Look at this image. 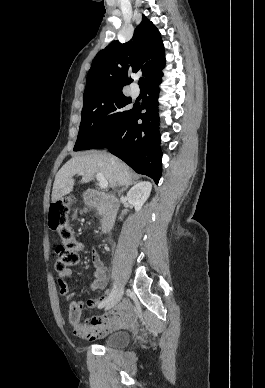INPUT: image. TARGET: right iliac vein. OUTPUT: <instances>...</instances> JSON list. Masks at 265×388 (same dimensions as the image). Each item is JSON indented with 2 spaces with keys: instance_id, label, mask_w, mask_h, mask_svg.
<instances>
[{
  "instance_id": "obj_1",
  "label": "right iliac vein",
  "mask_w": 265,
  "mask_h": 388,
  "mask_svg": "<svg viewBox=\"0 0 265 388\" xmlns=\"http://www.w3.org/2000/svg\"><path fill=\"white\" fill-rule=\"evenodd\" d=\"M123 296V287H121L116 295L109 301V303L106 306V309H111L113 308L122 298Z\"/></svg>"
}]
</instances>
